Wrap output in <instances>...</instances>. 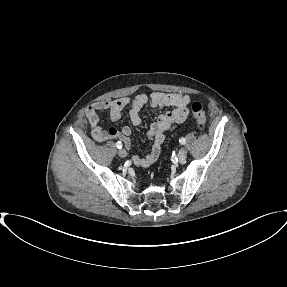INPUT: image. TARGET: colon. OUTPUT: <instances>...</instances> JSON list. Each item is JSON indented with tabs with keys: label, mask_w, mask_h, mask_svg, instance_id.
I'll list each match as a JSON object with an SVG mask.
<instances>
[{
	"label": "colon",
	"mask_w": 287,
	"mask_h": 287,
	"mask_svg": "<svg viewBox=\"0 0 287 287\" xmlns=\"http://www.w3.org/2000/svg\"><path fill=\"white\" fill-rule=\"evenodd\" d=\"M193 119L200 127L206 124L207 116L204 107L199 102H194L191 106Z\"/></svg>",
	"instance_id": "1"
}]
</instances>
